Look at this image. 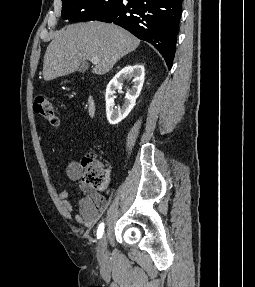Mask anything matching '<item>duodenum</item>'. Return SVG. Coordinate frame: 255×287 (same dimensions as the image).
<instances>
[{"label": "duodenum", "instance_id": "1", "mask_svg": "<svg viewBox=\"0 0 255 287\" xmlns=\"http://www.w3.org/2000/svg\"><path fill=\"white\" fill-rule=\"evenodd\" d=\"M87 111L90 117H94L97 112L96 100L93 96H90L87 101Z\"/></svg>", "mask_w": 255, "mask_h": 287}]
</instances>
